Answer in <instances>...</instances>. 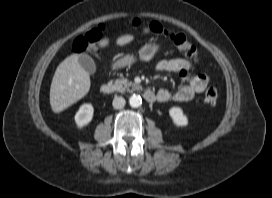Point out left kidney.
Masks as SVG:
<instances>
[{"label":"left kidney","instance_id":"5707ae66","mask_svg":"<svg viewBox=\"0 0 272 198\" xmlns=\"http://www.w3.org/2000/svg\"><path fill=\"white\" fill-rule=\"evenodd\" d=\"M169 115L173 120V123L176 126H186L188 124V118L187 116L183 113V110L180 107H172L169 110Z\"/></svg>","mask_w":272,"mask_h":198}]
</instances>
